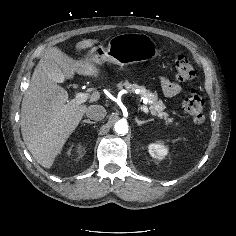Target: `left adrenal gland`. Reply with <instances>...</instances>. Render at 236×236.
I'll use <instances>...</instances> for the list:
<instances>
[{
    "label": "left adrenal gland",
    "mask_w": 236,
    "mask_h": 236,
    "mask_svg": "<svg viewBox=\"0 0 236 236\" xmlns=\"http://www.w3.org/2000/svg\"><path fill=\"white\" fill-rule=\"evenodd\" d=\"M135 121H136V123H137L138 126H141V125H143V124H145V123H148V122L152 121V119L141 121V120H139V119L136 117V118H135Z\"/></svg>",
    "instance_id": "1"
}]
</instances>
